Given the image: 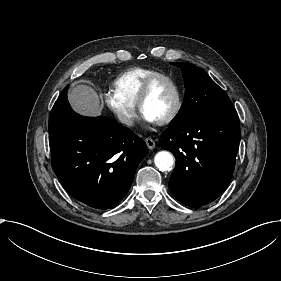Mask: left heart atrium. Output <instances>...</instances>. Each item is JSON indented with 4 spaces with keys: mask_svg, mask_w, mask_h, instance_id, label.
<instances>
[{
    "mask_svg": "<svg viewBox=\"0 0 281 281\" xmlns=\"http://www.w3.org/2000/svg\"><path fill=\"white\" fill-rule=\"evenodd\" d=\"M143 118L149 122V123H155L148 115H146L145 113H143Z\"/></svg>",
    "mask_w": 281,
    "mask_h": 281,
    "instance_id": "39dd6f15",
    "label": "left heart atrium"
}]
</instances>
